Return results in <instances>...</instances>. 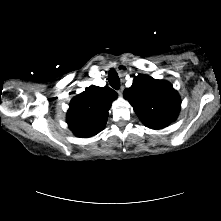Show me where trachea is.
I'll return each mask as SVG.
<instances>
[{
  "instance_id": "trachea-1",
  "label": "trachea",
  "mask_w": 221,
  "mask_h": 221,
  "mask_svg": "<svg viewBox=\"0 0 221 221\" xmlns=\"http://www.w3.org/2000/svg\"><path fill=\"white\" fill-rule=\"evenodd\" d=\"M109 84L116 90L120 88V79L115 70L111 69L108 74Z\"/></svg>"
}]
</instances>
